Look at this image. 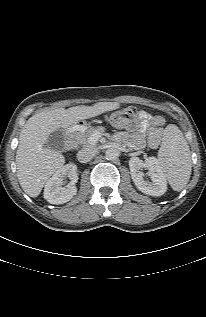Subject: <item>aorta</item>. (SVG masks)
I'll list each match as a JSON object with an SVG mask.
<instances>
[{
  "label": "aorta",
  "instance_id": "1",
  "mask_svg": "<svg viewBox=\"0 0 206 317\" xmlns=\"http://www.w3.org/2000/svg\"><path fill=\"white\" fill-rule=\"evenodd\" d=\"M118 156H119V152L115 148H109L105 152V157L107 160L113 161V160L117 159Z\"/></svg>",
  "mask_w": 206,
  "mask_h": 317
}]
</instances>
